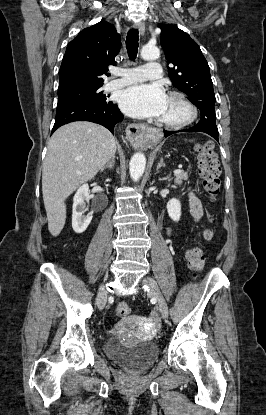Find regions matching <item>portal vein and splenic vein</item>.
<instances>
[{"label":"portal vein and splenic vein","instance_id":"1","mask_svg":"<svg viewBox=\"0 0 266 415\" xmlns=\"http://www.w3.org/2000/svg\"><path fill=\"white\" fill-rule=\"evenodd\" d=\"M182 172H183V171H182L181 169H175V170H174V173H175V174H180V173H182Z\"/></svg>","mask_w":266,"mask_h":415}]
</instances>
